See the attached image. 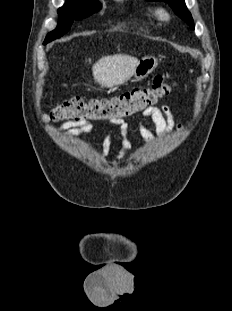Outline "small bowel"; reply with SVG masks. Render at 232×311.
Segmentation results:
<instances>
[{
  "label": "small bowel",
  "instance_id": "obj_1",
  "mask_svg": "<svg viewBox=\"0 0 232 311\" xmlns=\"http://www.w3.org/2000/svg\"><path fill=\"white\" fill-rule=\"evenodd\" d=\"M147 121L151 122L155 127V132L152 131ZM111 124L117 126L121 136L124 139L122 148L116 158L118 162L123 161L129 151V125L123 120L110 121ZM181 126L177 123L169 109L165 104L160 107L152 106L147 108L142 113V120L139 122L138 131L141 138L145 142V146H150L156 136H164L174 129H180ZM93 130V125L89 122H72L67 121L63 123L60 127L53 130L55 133H60L63 137H74L82 134L90 133ZM112 132L107 129L104 133L103 143H102V156L106 157L109 153L110 139Z\"/></svg>",
  "mask_w": 232,
  "mask_h": 311
}]
</instances>
